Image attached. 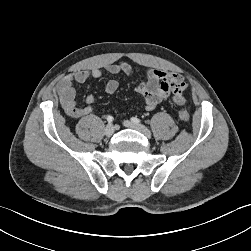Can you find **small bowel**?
<instances>
[{"mask_svg":"<svg viewBox=\"0 0 251 251\" xmlns=\"http://www.w3.org/2000/svg\"><path fill=\"white\" fill-rule=\"evenodd\" d=\"M106 71L113 75L125 74L131 76L134 74V69L127 62L110 64L106 67ZM102 76L103 71L100 68H93L68 74L58 82L57 90L60 103L69 117L79 119L90 115L94 110L95 99L92 95L86 97L85 105H77L74 83H85L90 78L100 79ZM144 77L145 80L139 84L137 92L143 96L146 110L155 109L158 104L169 97H172L174 103L178 106L184 105L183 92L188 85L181 75L159 69H148L145 71ZM118 87L119 83L115 79H110L105 83V91L108 94H114Z\"/></svg>","mask_w":251,"mask_h":251,"instance_id":"1","label":"small bowel"}]
</instances>
